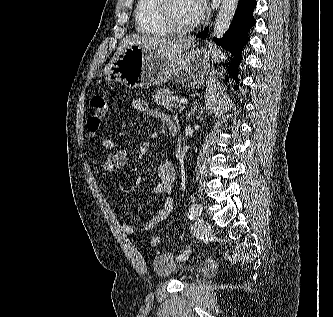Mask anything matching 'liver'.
I'll return each mask as SVG.
<instances>
[{
  "label": "liver",
  "instance_id": "1",
  "mask_svg": "<svg viewBox=\"0 0 333 317\" xmlns=\"http://www.w3.org/2000/svg\"><path fill=\"white\" fill-rule=\"evenodd\" d=\"M194 41V37L166 38L132 34L123 38L116 53L121 55L128 46H139L144 50L152 49L164 56L177 58L188 50Z\"/></svg>",
  "mask_w": 333,
  "mask_h": 317
}]
</instances>
